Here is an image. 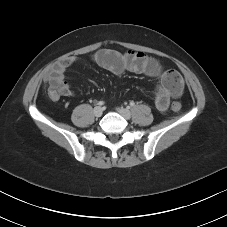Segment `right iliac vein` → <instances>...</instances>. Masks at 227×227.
<instances>
[{
	"instance_id": "obj_1",
	"label": "right iliac vein",
	"mask_w": 227,
	"mask_h": 227,
	"mask_svg": "<svg viewBox=\"0 0 227 227\" xmlns=\"http://www.w3.org/2000/svg\"><path fill=\"white\" fill-rule=\"evenodd\" d=\"M93 113L96 117H100L103 113V109L99 106L95 107Z\"/></svg>"
}]
</instances>
